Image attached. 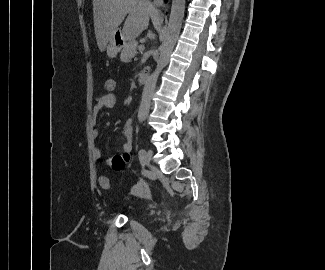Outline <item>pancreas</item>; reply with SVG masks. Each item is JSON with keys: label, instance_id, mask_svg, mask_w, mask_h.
Here are the masks:
<instances>
[{"label": "pancreas", "instance_id": "obj_1", "mask_svg": "<svg viewBox=\"0 0 325 270\" xmlns=\"http://www.w3.org/2000/svg\"><path fill=\"white\" fill-rule=\"evenodd\" d=\"M138 42L135 40H129L124 44V48L121 52V61L129 62L137 54Z\"/></svg>", "mask_w": 325, "mask_h": 270}]
</instances>
